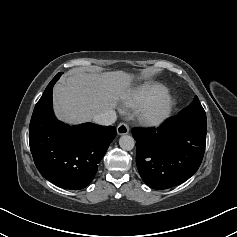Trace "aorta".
<instances>
[{"label":"aorta","instance_id":"1","mask_svg":"<svg viewBox=\"0 0 237 237\" xmlns=\"http://www.w3.org/2000/svg\"><path fill=\"white\" fill-rule=\"evenodd\" d=\"M119 145L123 150L130 151L135 146V140L129 135H123L119 139Z\"/></svg>","mask_w":237,"mask_h":237}]
</instances>
